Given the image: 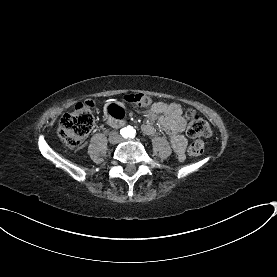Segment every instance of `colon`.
Returning <instances> with one entry per match:
<instances>
[{
  "instance_id": "5ec220e1",
  "label": "colon",
  "mask_w": 277,
  "mask_h": 277,
  "mask_svg": "<svg viewBox=\"0 0 277 277\" xmlns=\"http://www.w3.org/2000/svg\"><path fill=\"white\" fill-rule=\"evenodd\" d=\"M122 100L134 107H148L152 100L149 96L142 94H127ZM88 99H81L76 110L64 114L58 126V136L64 145L73 149L79 146L86 138L93 126V113L89 107ZM186 119L188 121V135L196 139L188 149L191 157H198L204 151V143L201 139L211 135V127L209 123L195 111H187Z\"/></svg>"
}]
</instances>
